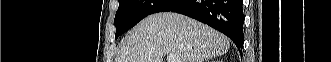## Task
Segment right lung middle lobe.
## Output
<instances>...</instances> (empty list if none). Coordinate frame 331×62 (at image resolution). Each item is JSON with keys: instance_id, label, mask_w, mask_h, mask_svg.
<instances>
[{"instance_id": "right-lung-middle-lobe-1", "label": "right lung middle lobe", "mask_w": 331, "mask_h": 62, "mask_svg": "<svg viewBox=\"0 0 331 62\" xmlns=\"http://www.w3.org/2000/svg\"><path fill=\"white\" fill-rule=\"evenodd\" d=\"M177 0H119L115 16L116 39L146 16L161 12Z\"/></svg>"}]
</instances>
